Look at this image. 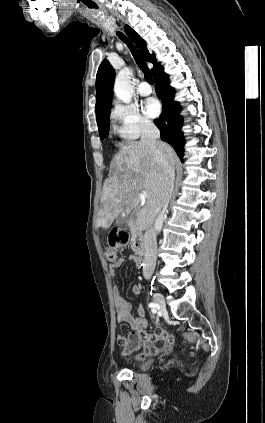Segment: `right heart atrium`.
I'll return each mask as SVG.
<instances>
[{"label":"right heart atrium","instance_id":"right-heart-atrium-1","mask_svg":"<svg viewBox=\"0 0 265 423\" xmlns=\"http://www.w3.org/2000/svg\"><path fill=\"white\" fill-rule=\"evenodd\" d=\"M110 115L116 132L124 140H135L153 128L151 120L133 104L116 103Z\"/></svg>","mask_w":265,"mask_h":423}]
</instances>
